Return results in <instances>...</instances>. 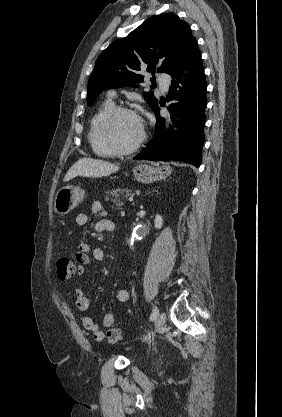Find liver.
I'll return each instance as SVG.
<instances>
[{"label":"liver","mask_w":282,"mask_h":417,"mask_svg":"<svg viewBox=\"0 0 282 417\" xmlns=\"http://www.w3.org/2000/svg\"><path fill=\"white\" fill-rule=\"evenodd\" d=\"M118 164L108 162V160H98V158H79L73 166H70L68 172H66L63 180H71L74 176H108L112 172L119 170Z\"/></svg>","instance_id":"liver-1"}]
</instances>
